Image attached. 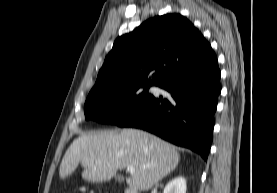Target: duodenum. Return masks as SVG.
Segmentation results:
<instances>
[{"label":"duodenum","mask_w":277,"mask_h":193,"mask_svg":"<svg viewBox=\"0 0 277 193\" xmlns=\"http://www.w3.org/2000/svg\"><path fill=\"white\" fill-rule=\"evenodd\" d=\"M125 193H138L136 190L132 189V188H127L125 190Z\"/></svg>","instance_id":"duodenum-1"}]
</instances>
